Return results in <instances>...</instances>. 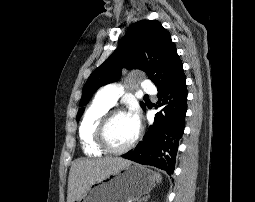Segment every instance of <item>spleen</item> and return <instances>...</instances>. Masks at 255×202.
<instances>
[{
	"mask_svg": "<svg viewBox=\"0 0 255 202\" xmlns=\"http://www.w3.org/2000/svg\"><path fill=\"white\" fill-rule=\"evenodd\" d=\"M155 178H156L157 183L161 182V180H162V177L159 173H155Z\"/></svg>",
	"mask_w": 255,
	"mask_h": 202,
	"instance_id": "1",
	"label": "spleen"
}]
</instances>
